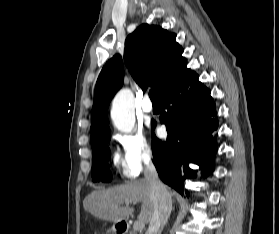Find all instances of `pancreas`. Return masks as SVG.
<instances>
[{"label":"pancreas","mask_w":279,"mask_h":234,"mask_svg":"<svg viewBox=\"0 0 279 234\" xmlns=\"http://www.w3.org/2000/svg\"><path fill=\"white\" fill-rule=\"evenodd\" d=\"M129 234H136L135 231H131Z\"/></svg>","instance_id":"obj_1"}]
</instances>
